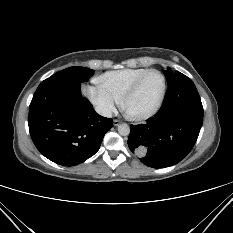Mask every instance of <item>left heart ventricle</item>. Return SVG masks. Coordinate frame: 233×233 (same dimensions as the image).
Returning <instances> with one entry per match:
<instances>
[{
	"label": "left heart ventricle",
	"instance_id": "left-heart-ventricle-1",
	"mask_svg": "<svg viewBox=\"0 0 233 233\" xmlns=\"http://www.w3.org/2000/svg\"><path fill=\"white\" fill-rule=\"evenodd\" d=\"M162 90L159 74L151 73L145 77L138 91L129 99L127 109L134 114H142L152 109L157 103Z\"/></svg>",
	"mask_w": 233,
	"mask_h": 233
}]
</instances>
